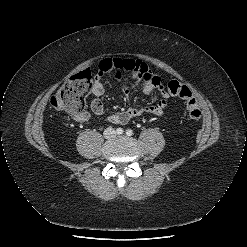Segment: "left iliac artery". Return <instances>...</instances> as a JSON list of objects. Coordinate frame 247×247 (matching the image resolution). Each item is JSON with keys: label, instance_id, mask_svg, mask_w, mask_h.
<instances>
[{"label": "left iliac artery", "instance_id": "obj_1", "mask_svg": "<svg viewBox=\"0 0 247 247\" xmlns=\"http://www.w3.org/2000/svg\"><path fill=\"white\" fill-rule=\"evenodd\" d=\"M126 135L127 136H132L133 135V131L131 129L126 130Z\"/></svg>", "mask_w": 247, "mask_h": 247}]
</instances>
